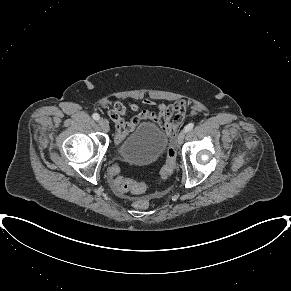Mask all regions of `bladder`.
Segmentation results:
<instances>
[{"label": "bladder", "mask_w": 291, "mask_h": 291, "mask_svg": "<svg viewBox=\"0 0 291 291\" xmlns=\"http://www.w3.org/2000/svg\"><path fill=\"white\" fill-rule=\"evenodd\" d=\"M166 133L150 122L139 124L116 148L121 161L135 166L156 162L168 148Z\"/></svg>", "instance_id": "31cf9c89"}]
</instances>
